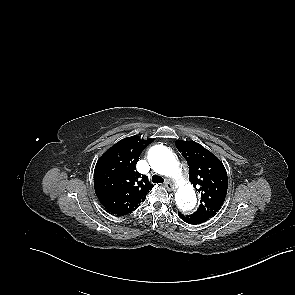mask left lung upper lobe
Here are the masks:
<instances>
[{
  "instance_id": "1",
  "label": "left lung upper lobe",
  "mask_w": 295,
  "mask_h": 295,
  "mask_svg": "<svg viewBox=\"0 0 295 295\" xmlns=\"http://www.w3.org/2000/svg\"><path fill=\"white\" fill-rule=\"evenodd\" d=\"M176 147L188 163L191 183L201 193V203L194 213L212 217L227 194L228 178L222 162L196 142L177 140Z\"/></svg>"
}]
</instances>
